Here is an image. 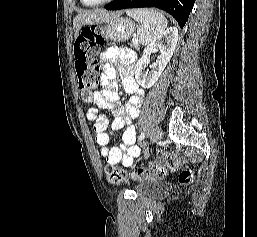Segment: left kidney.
Segmentation results:
<instances>
[{
	"label": "left kidney",
	"mask_w": 257,
	"mask_h": 237,
	"mask_svg": "<svg viewBox=\"0 0 257 237\" xmlns=\"http://www.w3.org/2000/svg\"><path fill=\"white\" fill-rule=\"evenodd\" d=\"M178 38V29L170 27L144 49L135 67V78L139 85L143 88H150L158 81L175 51ZM156 50L160 51L159 59L149 66V71L145 72V67L150 63V54Z\"/></svg>",
	"instance_id": "left-kidney-1"
}]
</instances>
